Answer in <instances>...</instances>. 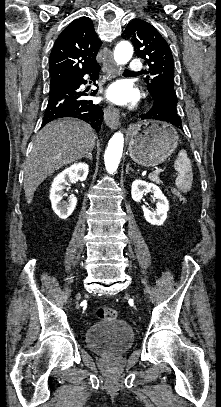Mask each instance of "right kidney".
Here are the masks:
<instances>
[{"mask_svg":"<svg viewBox=\"0 0 221 407\" xmlns=\"http://www.w3.org/2000/svg\"><path fill=\"white\" fill-rule=\"evenodd\" d=\"M89 172V166L86 163H74L70 167L59 173L53 180L50 189V200L52 209L61 219H67L74 211L77 198L70 195L67 202L62 201L64 189L69 182L73 180L85 181Z\"/></svg>","mask_w":221,"mask_h":407,"instance_id":"right-kidney-1","label":"right kidney"}]
</instances>
